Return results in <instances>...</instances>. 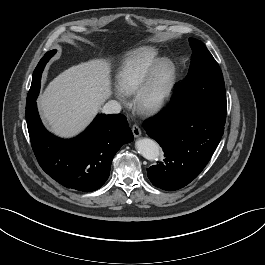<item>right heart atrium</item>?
Segmentation results:
<instances>
[{
  "mask_svg": "<svg viewBox=\"0 0 265 265\" xmlns=\"http://www.w3.org/2000/svg\"><path fill=\"white\" fill-rule=\"evenodd\" d=\"M117 98L120 100V101H123L124 100V97H123V94L121 93H117Z\"/></svg>",
  "mask_w": 265,
  "mask_h": 265,
  "instance_id": "right-heart-atrium-1",
  "label": "right heart atrium"
}]
</instances>
